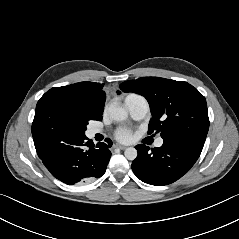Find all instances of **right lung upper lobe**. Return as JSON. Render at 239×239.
Instances as JSON below:
<instances>
[{
	"mask_svg": "<svg viewBox=\"0 0 239 239\" xmlns=\"http://www.w3.org/2000/svg\"><path fill=\"white\" fill-rule=\"evenodd\" d=\"M104 84L94 82H79L63 87L51 88L44 95H63L85 103L95 114L101 115L106 99L102 90Z\"/></svg>",
	"mask_w": 239,
	"mask_h": 239,
	"instance_id": "1",
	"label": "right lung upper lobe"
}]
</instances>
